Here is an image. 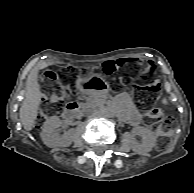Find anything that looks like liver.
<instances>
[{"label":"liver","instance_id":"obj_1","mask_svg":"<svg viewBox=\"0 0 194 193\" xmlns=\"http://www.w3.org/2000/svg\"><path fill=\"white\" fill-rule=\"evenodd\" d=\"M53 64L41 61L29 73L26 81V94L19 111L20 120L25 130L30 131L35 125L37 110L41 104L42 92L38 83L39 70Z\"/></svg>","mask_w":194,"mask_h":193}]
</instances>
